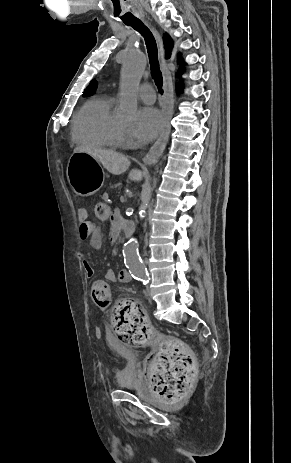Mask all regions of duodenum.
I'll use <instances>...</instances> for the list:
<instances>
[{
    "label": "duodenum",
    "instance_id": "duodenum-1",
    "mask_svg": "<svg viewBox=\"0 0 291 463\" xmlns=\"http://www.w3.org/2000/svg\"><path fill=\"white\" fill-rule=\"evenodd\" d=\"M116 226L120 229L119 233L125 232L127 235H131L134 232V228H135V225L132 220L121 219V218L118 220ZM124 270L128 275H130L127 269H124Z\"/></svg>",
    "mask_w": 291,
    "mask_h": 463
}]
</instances>
